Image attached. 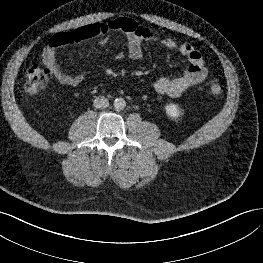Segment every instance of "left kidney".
I'll use <instances>...</instances> for the list:
<instances>
[{
    "mask_svg": "<svg viewBox=\"0 0 263 263\" xmlns=\"http://www.w3.org/2000/svg\"><path fill=\"white\" fill-rule=\"evenodd\" d=\"M165 111L171 119H177L182 115L180 108L175 104H168L165 107Z\"/></svg>",
    "mask_w": 263,
    "mask_h": 263,
    "instance_id": "1",
    "label": "left kidney"
}]
</instances>
